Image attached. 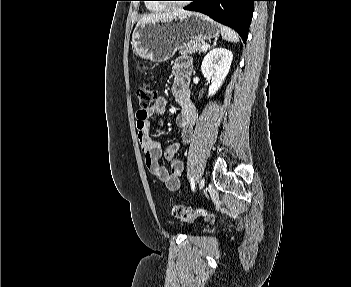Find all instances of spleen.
Segmentation results:
<instances>
[{"label":"spleen","instance_id":"3e777b00","mask_svg":"<svg viewBox=\"0 0 351 287\" xmlns=\"http://www.w3.org/2000/svg\"><path fill=\"white\" fill-rule=\"evenodd\" d=\"M222 38L226 41L237 43L239 42L238 34L229 27L221 26Z\"/></svg>","mask_w":351,"mask_h":287}]
</instances>
